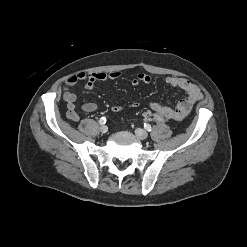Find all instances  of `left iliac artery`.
<instances>
[{
	"instance_id": "44dca946",
	"label": "left iliac artery",
	"mask_w": 247,
	"mask_h": 247,
	"mask_svg": "<svg viewBox=\"0 0 247 247\" xmlns=\"http://www.w3.org/2000/svg\"><path fill=\"white\" fill-rule=\"evenodd\" d=\"M144 128L147 130V131H151L152 127L149 123H145L144 124Z\"/></svg>"
}]
</instances>
